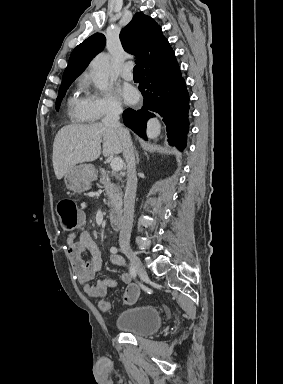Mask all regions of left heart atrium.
<instances>
[{
  "mask_svg": "<svg viewBox=\"0 0 283 384\" xmlns=\"http://www.w3.org/2000/svg\"><path fill=\"white\" fill-rule=\"evenodd\" d=\"M120 94L124 102L128 105L135 104L139 99L138 92L133 87L128 85H125L120 89Z\"/></svg>",
  "mask_w": 283,
  "mask_h": 384,
  "instance_id": "left-heart-atrium-1",
  "label": "left heart atrium"
}]
</instances>
